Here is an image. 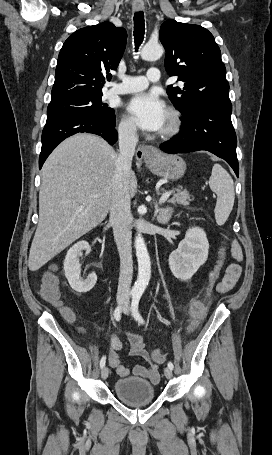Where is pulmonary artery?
I'll return each instance as SVG.
<instances>
[{"mask_svg":"<svg viewBox=\"0 0 272 455\" xmlns=\"http://www.w3.org/2000/svg\"><path fill=\"white\" fill-rule=\"evenodd\" d=\"M160 80V71L157 68H150L146 76H123L121 82L114 84L109 90L110 95L127 94L145 89L150 82Z\"/></svg>","mask_w":272,"mask_h":455,"instance_id":"pulmonary-artery-1","label":"pulmonary artery"}]
</instances>
